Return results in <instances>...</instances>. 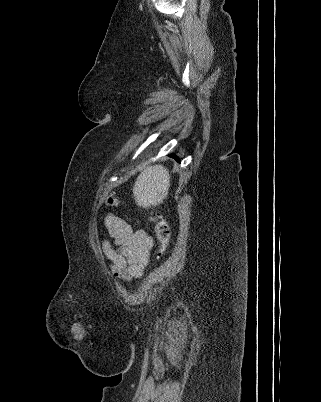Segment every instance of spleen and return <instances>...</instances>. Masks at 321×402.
<instances>
[{
  "label": "spleen",
  "instance_id": "1",
  "mask_svg": "<svg viewBox=\"0 0 321 402\" xmlns=\"http://www.w3.org/2000/svg\"><path fill=\"white\" fill-rule=\"evenodd\" d=\"M170 187V174L162 165L146 167L133 186L134 199L144 208L163 202Z\"/></svg>",
  "mask_w": 321,
  "mask_h": 402
}]
</instances>
